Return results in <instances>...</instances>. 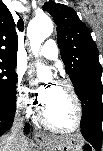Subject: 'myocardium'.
I'll return each mask as SVG.
<instances>
[{
  "mask_svg": "<svg viewBox=\"0 0 103 151\" xmlns=\"http://www.w3.org/2000/svg\"><path fill=\"white\" fill-rule=\"evenodd\" d=\"M56 85L63 87L70 94V96L73 100V103H74V107H75V113H76L75 122L72 126H69V127L56 126L47 118V116L44 113L43 107L39 111L40 121L46 128H48L52 131H55V132H61V133L74 132L81 127L82 122H83L82 102H81L80 97L77 94L76 90L69 82H67L65 80H59L56 82Z\"/></svg>",
  "mask_w": 103,
  "mask_h": 151,
  "instance_id": "myocardium-1",
  "label": "myocardium"
}]
</instances>
